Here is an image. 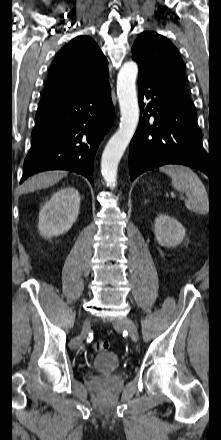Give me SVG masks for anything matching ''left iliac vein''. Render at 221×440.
Here are the masks:
<instances>
[{"instance_id": "1", "label": "left iliac vein", "mask_w": 221, "mask_h": 440, "mask_svg": "<svg viewBox=\"0 0 221 440\" xmlns=\"http://www.w3.org/2000/svg\"><path fill=\"white\" fill-rule=\"evenodd\" d=\"M115 328H123L126 329L133 341L138 340V331L137 327L132 319L129 317H121L114 321Z\"/></svg>"}]
</instances>
